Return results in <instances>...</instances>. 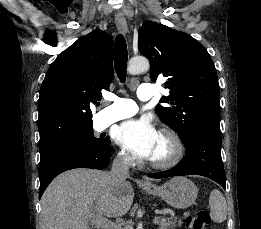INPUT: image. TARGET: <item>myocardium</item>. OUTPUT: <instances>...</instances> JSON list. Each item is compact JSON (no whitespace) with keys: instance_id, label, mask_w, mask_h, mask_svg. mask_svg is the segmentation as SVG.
<instances>
[{"instance_id":"obj_1","label":"myocardium","mask_w":261,"mask_h":229,"mask_svg":"<svg viewBox=\"0 0 261 229\" xmlns=\"http://www.w3.org/2000/svg\"><path fill=\"white\" fill-rule=\"evenodd\" d=\"M159 135L167 141L169 152L165 158L150 160L149 164L155 169H170L180 163L184 155V148L179 136L172 129L163 128Z\"/></svg>"}]
</instances>
